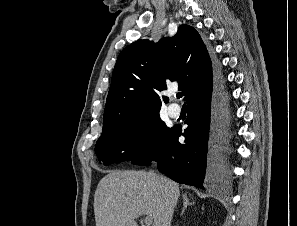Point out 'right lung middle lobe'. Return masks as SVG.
I'll return each mask as SVG.
<instances>
[{
    "label": "right lung middle lobe",
    "mask_w": 297,
    "mask_h": 226,
    "mask_svg": "<svg viewBox=\"0 0 297 226\" xmlns=\"http://www.w3.org/2000/svg\"><path fill=\"white\" fill-rule=\"evenodd\" d=\"M159 110L140 112L125 118L109 115L95 152L105 165L136 162L149 155L167 136L171 128L159 117Z\"/></svg>",
    "instance_id": "dd1d6c3e"
}]
</instances>
